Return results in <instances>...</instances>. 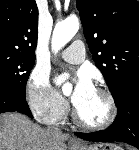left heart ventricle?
<instances>
[{
    "mask_svg": "<svg viewBox=\"0 0 139 150\" xmlns=\"http://www.w3.org/2000/svg\"><path fill=\"white\" fill-rule=\"evenodd\" d=\"M80 117L87 123L99 124L108 116L106 98L95 89L75 104Z\"/></svg>",
    "mask_w": 139,
    "mask_h": 150,
    "instance_id": "1",
    "label": "left heart ventricle"
}]
</instances>
